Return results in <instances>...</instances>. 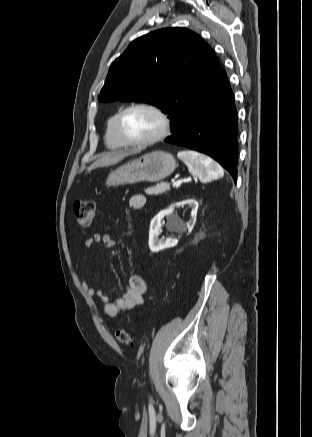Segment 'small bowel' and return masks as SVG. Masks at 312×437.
I'll use <instances>...</instances> for the list:
<instances>
[{
    "label": "small bowel",
    "instance_id": "c3829d8e",
    "mask_svg": "<svg viewBox=\"0 0 312 437\" xmlns=\"http://www.w3.org/2000/svg\"><path fill=\"white\" fill-rule=\"evenodd\" d=\"M145 204L146 198L140 194L134 195L129 201L132 210H141ZM95 243L102 244L105 249H111L117 245V241L111 235L101 233H96L88 238L85 246L87 249H91ZM83 285L86 292L99 301L104 313L110 317H116L122 311L131 310L141 305L143 295L147 290L145 280L138 275L130 277L125 292L115 301H112L102 289L95 288L86 281Z\"/></svg>",
    "mask_w": 312,
    "mask_h": 437
}]
</instances>
